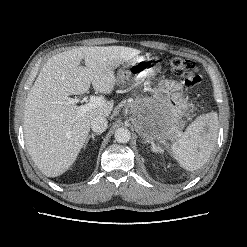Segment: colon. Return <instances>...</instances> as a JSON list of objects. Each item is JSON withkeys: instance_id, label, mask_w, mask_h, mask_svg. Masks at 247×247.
I'll use <instances>...</instances> for the list:
<instances>
[{"instance_id": "1", "label": "colon", "mask_w": 247, "mask_h": 247, "mask_svg": "<svg viewBox=\"0 0 247 247\" xmlns=\"http://www.w3.org/2000/svg\"><path fill=\"white\" fill-rule=\"evenodd\" d=\"M170 67L174 74L181 76L187 87H193L201 82V76L198 73L194 61L186 58L175 57L170 60Z\"/></svg>"}]
</instances>
